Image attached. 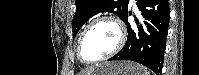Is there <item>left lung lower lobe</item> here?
Instances as JSON below:
<instances>
[{
  "mask_svg": "<svg viewBox=\"0 0 199 75\" xmlns=\"http://www.w3.org/2000/svg\"><path fill=\"white\" fill-rule=\"evenodd\" d=\"M136 5L141 19L136 18L132 27L128 23L131 12H127L123 19L128 31L126 44L109 60H131L161 75L170 20L168 0H137Z\"/></svg>",
  "mask_w": 199,
  "mask_h": 75,
  "instance_id": "left-lung-lower-lobe-1",
  "label": "left lung lower lobe"
}]
</instances>
